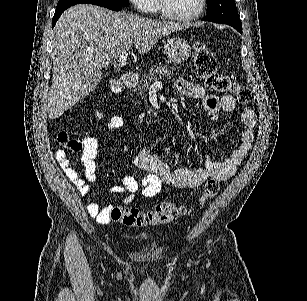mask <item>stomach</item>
I'll return each mask as SVG.
<instances>
[{
    "label": "stomach",
    "mask_w": 307,
    "mask_h": 301,
    "mask_svg": "<svg viewBox=\"0 0 307 301\" xmlns=\"http://www.w3.org/2000/svg\"><path fill=\"white\" fill-rule=\"evenodd\" d=\"M164 54L169 62H186L191 54V46L186 38L173 36L164 42Z\"/></svg>",
    "instance_id": "obj_1"
}]
</instances>
